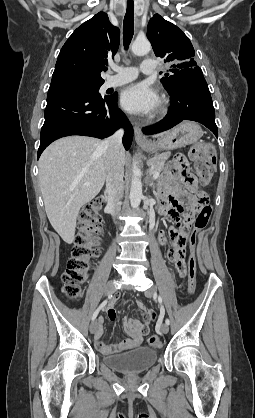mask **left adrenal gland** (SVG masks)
<instances>
[{
    "label": "left adrenal gland",
    "mask_w": 255,
    "mask_h": 418,
    "mask_svg": "<svg viewBox=\"0 0 255 418\" xmlns=\"http://www.w3.org/2000/svg\"><path fill=\"white\" fill-rule=\"evenodd\" d=\"M153 185V183L152 182H150V186H152Z\"/></svg>",
    "instance_id": "a2214340"
}]
</instances>
